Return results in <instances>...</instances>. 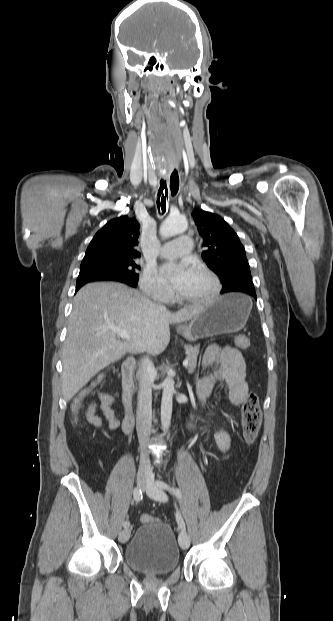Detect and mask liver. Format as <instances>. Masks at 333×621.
Listing matches in <instances>:
<instances>
[{
  "mask_svg": "<svg viewBox=\"0 0 333 621\" xmlns=\"http://www.w3.org/2000/svg\"><path fill=\"white\" fill-rule=\"evenodd\" d=\"M207 303L176 313L161 310L138 290L119 283H90L76 294L63 346L62 393L68 402L100 370L130 351L162 353L170 341L169 324L187 322ZM112 327L130 334L121 341Z\"/></svg>",
  "mask_w": 333,
  "mask_h": 621,
  "instance_id": "6515ba94",
  "label": "liver"
}]
</instances>
